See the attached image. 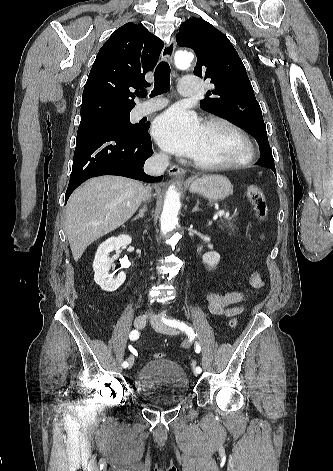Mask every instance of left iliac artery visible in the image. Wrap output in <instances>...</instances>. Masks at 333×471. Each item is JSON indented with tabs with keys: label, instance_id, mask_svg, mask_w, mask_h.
Masks as SVG:
<instances>
[{
	"label": "left iliac artery",
	"instance_id": "1",
	"mask_svg": "<svg viewBox=\"0 0 333 471\" xmlns=\"http://www.w3.org/2000/svg\"><path fill=\"white\" fill-rule=\"evenodd\" d=\"M162 320L166 325H168L170 327L178 328L181 331H184L188 335V337L195 338L196 334H195L193 328L188 326L185 322H182V321H179V320H176V319H167L164 316L162 317ZM195 351H196V353H200L201 347H200L199 343L195 344ZM195 371L199 374V373L202 372V369H201L200 366H197Z\"/></svg>",
	"mask_w": 333,
	"mask_h": 471
}]
</instances>
